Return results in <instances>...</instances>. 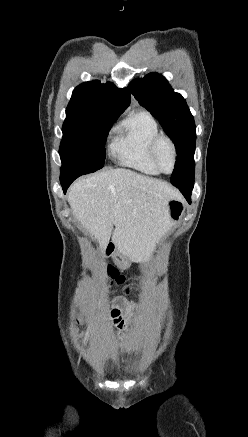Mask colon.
Wrapping results in <instances>:
<instances>
[{"instance_id":"1","label":"colon","mask_w":248,"mask_h":437,"mask_svg":"<svg viewBox=\"0 0 248 437\" xmlns=\"http://www.w3.org/2000/svg\"><path fill=\"white\" fill-rule=\"evenodd\" d=\"M108 274L112 283H114L116 286H122L126 281L125 277L117 272L114 268L109 267Z\"/></svg>"}]
</instances>
